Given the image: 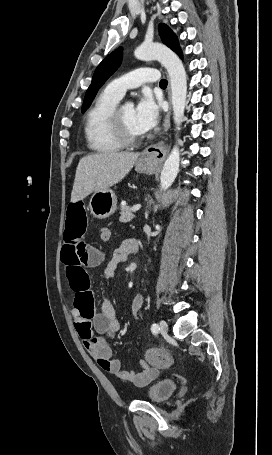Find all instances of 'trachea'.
Instances as JSON below:
<instances>
[{
  "mask_svg": "<svg viewBox=\"0 0 272 455\" xmlns=\"http://www.w3.org/2000/svg\"><path fill=\"white\" fill-rule=\"evenodd\" d=\"M160 87H167V81L166 80H161L159 83Z\"/></svg>",
  "mask_w": 272,
  "mask_h": 455,
  "instance_id": "1",
  "label": "trachea"
}]
</instances>
